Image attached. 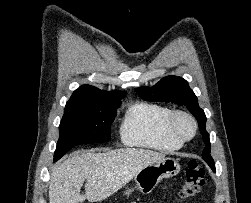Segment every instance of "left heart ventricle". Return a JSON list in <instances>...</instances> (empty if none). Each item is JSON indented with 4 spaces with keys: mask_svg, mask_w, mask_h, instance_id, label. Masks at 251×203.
Listing matches in <instances>:
<instances>
[{
    "mask_svg": "<svg viewBox=\"0 0 251 203\" xmlns=\"http://www.w3.org/2000/svg\"><path fill=\"white\" fill-rule=\"evenodd\" d=\"M178 129L183 135H189L192 132V126L190 122L185 118L179 119Z\"/></svg>",
    "mask_w": 251,
    "mask_h": 203,
    "instance_id": "b2bd125f",
    "label": "left heart ventricle"
}]
</instances>
